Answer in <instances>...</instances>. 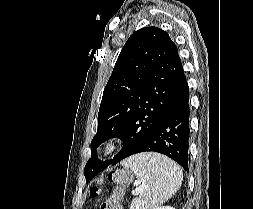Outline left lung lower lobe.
Masks as SVG:
<instances>
[{
    "instance_id": "0a47b994",
    "label": "left lung lower lobe",
    "mask_w": 253,
    "mask_h": 209,
    "mask_svg": "<svg viewBox=\"0 0 253 209\" xmlns=\"http://www.w3.org/2000/svg\"><path fill=\"white\" fill-rule=\"evenodd\" d=\"M189 119V87L183 71L168 110L136 153H162L188 171Z\"/></svg>"
}]
</instances>
